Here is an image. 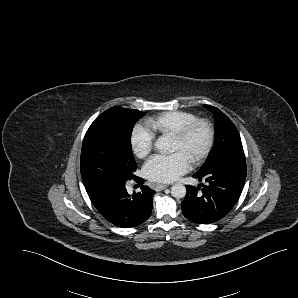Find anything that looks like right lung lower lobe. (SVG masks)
<instances>
[{
    "mask_svg": "<svg viewBox=\"0 0 298 298\" xmlns=\"http://www.w3.org/2000/svg\"><path fill=\"white\" fill-rule=\"evenodd\" d=\"M143 184V179L132 178ZM126 182L86 188L91 202L110 223L121 228L135 227L144 223L152 213L155 191L141 186L142 191L128 194Z\"/></svg>",
    "mask_w": 298,
    "mask_h": 298,
    "instance_id": "1",
    "label": "right lung lower lobe"
}]
</instances>
